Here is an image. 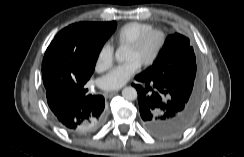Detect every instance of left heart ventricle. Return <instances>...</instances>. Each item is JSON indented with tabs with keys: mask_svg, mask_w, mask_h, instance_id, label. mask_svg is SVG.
I'll use <instances>...</instances> for the list:
<instances>
[{
	"mask_svg": "<svg viewBox=\"0 0 244 157\" xmlns=\"http://www.w3.org/2000/svg\"><path fill=\"white\" fill-rule=\"evenodd\" d=\"M159 41V36L153 35L140 48L136 50L127 48L125 60H136L142 64L153 55L158 47Z\"/></svg>",
	"mask_w": 244,
	"mask_h": 157,
	"instance_id": "left-heart-ventricle-1",
	"label": "left heart ventricle"
}]
</instances>
